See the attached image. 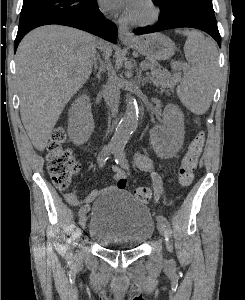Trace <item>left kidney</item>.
<instances>
[{
  "instance_id": "obj_1",
  "label": "left kidney",
  "mask_w": 245,
  "mask_h": 300,
  "mask_svg": "<svg viewBox=\"0 0 245 300\" xmlns=\"http://www.w3.org/2000/svg\"><path fill=\"white\" fill-rule=\"evenodd\" d=\"M184 116L173 104H168L163 112V125L159 130L151 132V140L155 151L162 156H174L184 141Z\"/></svg>"
}]
</instances>
